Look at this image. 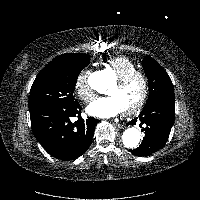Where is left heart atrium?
Instances as JSON below:
<instances>
[{
	"label": "left heart atrium",
	"mask_w": 200,
	"mask_h": 200,
	"mask_svg": "<svg viewBox=\"0 0 200 200\" xmlns=\"http://www.w3.org/2000/svg\"><path fill=\"white\" fill-rule=\"evenodd\" d=\"M124 110L115 96L109 95L94 100L87 108V112L98 118H111Z\"/></svg>",
	"instance_id": "left-heart-atrium-1"
}]
</instances>
